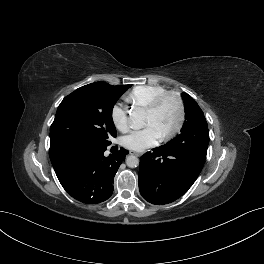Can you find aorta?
Returning <instances> with one entry per match:
<instances>
[{"label": "aorta", "instance_id": "obj_1", "mask_svg": "<svg viewBox=\"0 0 264 264\" xmlns=\"http://www.w3.org/2000/svg\"><path fill=\"white\" fill-rule=\"evenodd\" d=\"M145 120V112L141 108H134L130 113V123L134 128H142ZM126 164L130 168H135L139 165V159L130 155L126 158Z\"/></svg>", "mask_w": 264, "mask_h": 264}]
</instances>
